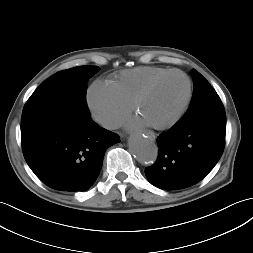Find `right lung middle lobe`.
Listing matches in <instances>:
<instances>
[{
    "mask_svg": "<svg viewBox=\"0 0 253 253\" xmlns=\"http://www.w3.org/2000/svg\"><path fill=\"white\" fill-rule=\"evenodd\" d=\"M99 70L97 66H79L48 78L26 102L21 128L60 112L90 115L86 103V83Z\"/></svg>",
    "mask_w": 253,
    "mask_h": 253,
    "instance_id": "1",
    "label": "right lung middle lobe"
}]
</instances>
